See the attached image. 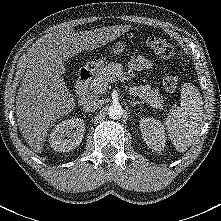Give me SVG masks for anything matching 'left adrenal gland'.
Here are the masks:
<instances>
[{"instance_id": "obj_1", "label": "left adrenal gland", "mask_w": 221, "mask_h": 221, "mask_svg": "<svg viewBox=\"0 0 221 221\" xmlns=\"http://www.w3.org/2000/svg\"><path fill=\"white\" fill-rule=\"evenodd\" d=\"M138 104L141 105V102L136 101V100H132V101H130V105H131L132 107H135V106L138 105Z\"/></svg>"}]
</instances>
